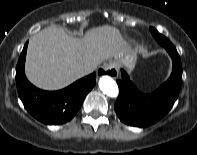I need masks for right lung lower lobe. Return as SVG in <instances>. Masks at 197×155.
I'll return each mask as SVG.
<instances>
[{"label":"right lung lower lobe","instance_id":"obj_1","mask_svg":"<svg viewBox=\"0 0 197 155\" xmlns=\"http://www.w3.org/2000/svg\"><path fill=\"white\" fill-rule=\"evenodd\" d=\"M27 45L28 43L25 44L16 67V85L24 107L42 123L59 125L68 122L94 87L96 74L88 75L59 91L40 90L27 80L24 73Z\"/></svg>","mask_w":197,"mask_h":155}]
</instances>
